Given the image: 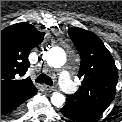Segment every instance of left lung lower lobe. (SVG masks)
I'll list each match as a JSON object with an SVG mask.
<instances>
[{"label": "left lung lower lobe", "instance_id": "1", "mask_svg": "<svg viewBox=\"0 0 122 122\" xmlns=\"http://www.w3.org/2000/svg\"><path fill=\"white\" fill-rule=\"evenodd\" d=\"M60 111L66 118L76 122H90L102 113L87 104L77 102L69 95H67L66 103Z\"/></svg>", "mask_w": 122, "mask_h": 122}]
</instances>
